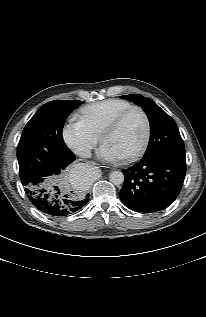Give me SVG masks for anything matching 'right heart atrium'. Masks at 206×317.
<instances>
[{
  "mask_svg": "<svg viewBox=\"0 0 206 317\" xmlns=\"http://www.w3.org/2000/svg\"><path fill=\"white\" fill-rule=\"evenodd\" d=\"M62 136L68 147L80 156H88L99 141V137L81 119L74 118L64 125Z\"/></svg>",
  "mask_w": 206,
  "mask_h": 317,
  "instance_id": "1",
  "label": "right heart atrium"
}]
</instances>
